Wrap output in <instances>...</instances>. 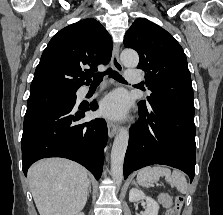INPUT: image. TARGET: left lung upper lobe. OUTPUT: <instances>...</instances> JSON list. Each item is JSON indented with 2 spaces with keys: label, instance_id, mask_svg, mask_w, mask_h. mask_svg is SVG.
<instances>
[{
  "label": "left lung upper lobe",
  "instance_id": "1",
  "mask_svg": "<svg viewBox=\"0 0 223 215\" xmlns=\"http://www.w3.org/2000/svg\"><path fill=\"white\" fill-rule=\"evenodd\" d=\"M124 46L139 54L138 68L152 91L140 105L166 104L195 111L186 55L173 36L147 19H136L127 31Z\"/></svg>",
  "mask_w": 223,
  "mask_h": 215
}]
</instances>
